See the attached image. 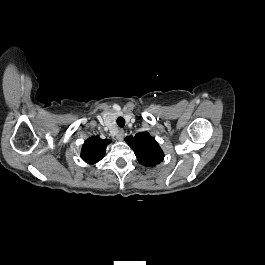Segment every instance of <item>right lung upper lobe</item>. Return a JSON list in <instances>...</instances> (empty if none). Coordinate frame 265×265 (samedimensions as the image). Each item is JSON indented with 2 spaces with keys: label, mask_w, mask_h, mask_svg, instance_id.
I'll return each mask as SVG.
<instances>
[{
  "label": "right lung upper lobe",
  "mask_w": 265,
  "mask_h": 265,
  "mask_svg": "<svg viewBox=\"0 0 265 265\" xmlns=\"http://www.w3.org/2000/svg\"><path fill=\"white\" fill-rule=\"evenodd\" d=\"M110 142V140L101 139L98 136L88 138L83 144L81 158L88 164L97 163L104 157L106 146Z\"/></svg>",
  "instance_id": "obj_1"
}]
</instances>
